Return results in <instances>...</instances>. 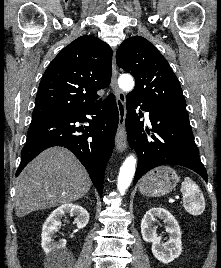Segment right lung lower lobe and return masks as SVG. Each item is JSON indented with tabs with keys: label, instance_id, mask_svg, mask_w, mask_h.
<instances>
[{
	"label": "right lung lower lobe",
	"instance_id": "98d812e1",
	"mask_svg": "<svg viewBox=\"0 0 221 268\" xmlns=\"http://www.w3.org/2000/svg\"><path fill=\"white\" fill-rule=\"evenodd\" d=\"M86 115L92 116V120ZM118 120L113 94L92 107L68 115L32 119L16 176L43 150L64 146L83 164L102 196L105 168L113 151ZM76 122H89V126L77 127Z\"/></svg>",
	"mask_w": 221,
	"mask_h": 268
}]
</instances>
